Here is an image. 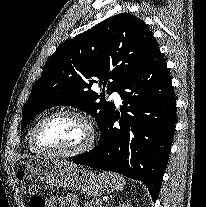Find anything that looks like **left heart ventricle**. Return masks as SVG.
I'll list each match as a JSON object with an SVG mask.
<instances>
[{
	"mask_svg": "<svg viewBox=\"0 0 206 207\" xmlns=\"http://www.w3.org/2000/svg\"><path fill=\"white\" fill-rule=\"evenodd\" d=\"M88 136L86 125L81 120L69 116L45 122L37 133V139L44 147L65 151L81 147Z\"/></svg>",
	"mask_w": 206,
	"mask_h": 207,
	"instance_id": "obj_1",
	"label": "left heart ventricle"
}]
</instances>
